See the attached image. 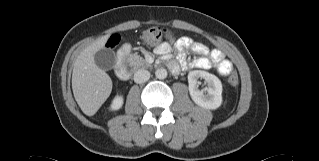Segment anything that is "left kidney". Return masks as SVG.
<instances>
[{
  "instance_id": "1",
  "label": "left kidney",
  "mask_w": 319,
  "mask_h": 161,
  "mask_svg": "<svg viewBox=\"0 0 319 161\" xmlns=\"http://www.w3.org/2000/svg\"><path fill=\"white\" fill-rule=\"evenodd\" d=\"M204 79L207 83V88L199 89L198 79ZM189 93L192 100L200 107L205 109H217L222 104V83L215 75L202 71L194 70L188 74Z\"/></svg>"
}]
</instances>
